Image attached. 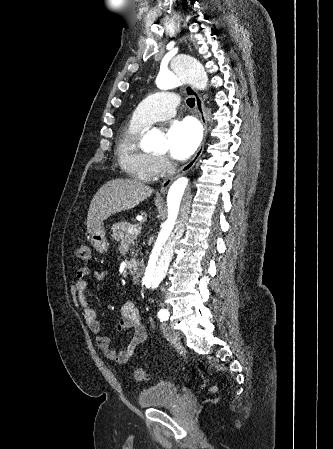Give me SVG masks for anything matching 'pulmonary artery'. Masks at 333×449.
I'll list each match as a JSON object with an SVG mask.
<instances>
[{"label": "pulmonary artery", "mask_w": 333, "mask_h": 449, "mask_svg": "<svg viewBox=\"0 0 333 449\" xmlns=\"http://www.w3.org/2000/svg\"><path fill=\"white\" fill-rule=\"evenodd\" d=\"M178 96L171 92H157L145 98L136 108L133 118L141 124L166 120L176 113Z\"/></svg>", "instance_id": "pulmonary-artery-1"}]
</instances>
